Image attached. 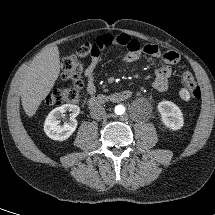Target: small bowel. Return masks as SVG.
<instances>
[{
	"label": "small bowel",
	"instance_id": "c3829d8e",
	"mask_svg": "<svg viewBox=\"0 0 215 215\" xmlns=\"http://www.w3.org/2000/svg\"><path fill=\"white\" fill-rule=\"evenodd\" d=\"M113 46L125 47L127 53L123 60L127 63L137 61L142 54L153 58H161L163 65L158 67L153 80V87L158 91H166L169 88V80L172 75L171 66L179 62L180 58L176 52L168 51L161 53L157 45L147 44L141 46L140 43L127 34L98 36L91 44V60L84 69L83 78L86 81V91L89 95L96 92L95 76L98 64L101 62L105 49Z\"/></svg>",
	"mask_w": 215,
	"mask_h": 215
}]
</instances>
